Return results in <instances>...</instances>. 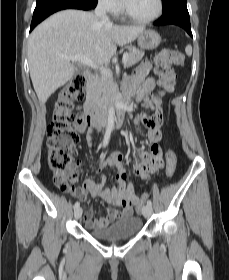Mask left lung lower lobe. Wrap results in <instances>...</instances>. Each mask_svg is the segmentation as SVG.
Wrapping results in <instances>:
<instances>
[{
  "label": "left lung lower lobe",
  "instance_id": "1",
  "mask_svg": "<svg viewBox=\"0 0 229 280\" xmlns=\"http://www.w3.org/2000/svg\"><path fill=\"white\" fill-rule=\"evenodd\" d=\"M168 24L182 27L190 36H192L186 1H176L172 7L164 11L163 16L159 20L154 22V25L157 26Z\"/></svg>",
  "mask_w": 229,
  "mask_h": 280
}]
</instances>
